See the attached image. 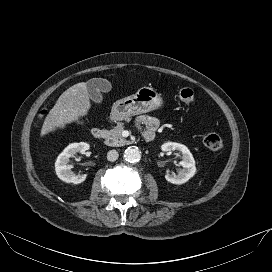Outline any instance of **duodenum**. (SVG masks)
<instances>
[{
	"mask_svg": "<svg viewBox=\"0 0 272 272\" xmlns=\"http://www.w3.org/2000/svg\"><path fill=\"white\" fill-rule=\"evenodd\" d=\"M91 135H92V137H93L94 139L101 140V139H103V138L105 137L106 132H105V130L102 129V128H94V129H92V131H91ZM154 135H155L154 132L148 133V134L145 136V140H146L147 142L153 140Z\"/></svg>",
	"mask_w": 272,
	"mask_h": 272,
	"instance_id": "obj_1",
	"label": "duodenum"
}]
</instances>
